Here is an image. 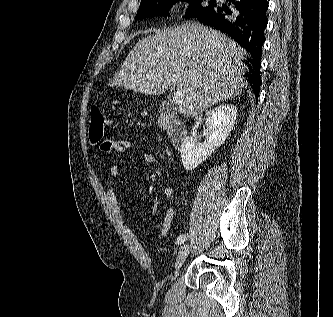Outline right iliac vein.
<instances>
[{
	"label": "right iliac vein",
	"mask_w": 333,
	"mask_h": 317,
	"mask_svg": "<svg viewBox=\"0 0 333 317\" xmlns=\"http://www.w3.org/2000/svg\"><path fill=\"white\" fill-rule=\"evenodd\" d=\"M191 246L189 244L184 245L183 247L180 248L178 254H177V258L175 261V269L179 270L182 265L184 264L186 258L189 255Z\"/></svg>",
	"instance_id": "1"
}]
</instances>
